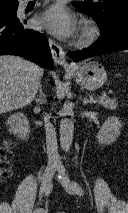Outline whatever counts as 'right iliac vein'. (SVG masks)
Wrapping results in <instances>:
<instances>
[{
  "label": "right iliac vein",
  "mask_w": 128,
  "mask_h": 213,
  "mask_svg": "<svg viewBox=\"0 0 128 213\" xmlns=\"http://www.w3.org/2000/svg\"><path fill=\"white\" fill-rule=\"evenodd\" d=\"M56 172V168L55 167H48L44 173V177H43V181L41 184V190L43 193H47L51 180L53 178V175ZM34 213H39L38 210H35Z\"/></svg>",
  "instance_id": "63e3f726"
}]
</instances>
